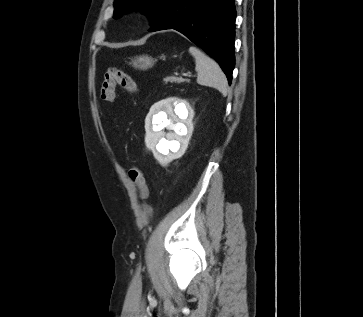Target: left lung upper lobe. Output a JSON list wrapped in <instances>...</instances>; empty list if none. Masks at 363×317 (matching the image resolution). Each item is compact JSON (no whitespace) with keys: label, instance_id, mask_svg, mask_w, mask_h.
<instances>
[{"label":"left lung upper lobe","instance_id":"1","mask_svg":"<svg viewBox=\"0 0 363 317\" xmlns=\"http://www.w3.org/2000/svg\"><path fill=\"white\" fill-rule=\"evenodd\" d=\"M166 0H115L114 17L121 16L130 9L145 11L151 19V24L155 21Z\"/></svg>","mask_w":363,"mask_h":317}]
</instances>
